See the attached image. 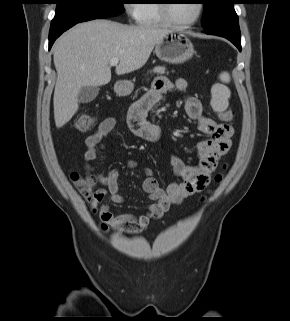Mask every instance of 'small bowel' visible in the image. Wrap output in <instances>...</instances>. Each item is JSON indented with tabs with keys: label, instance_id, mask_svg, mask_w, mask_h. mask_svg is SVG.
Instances as JSON below:
<instances>
[{
	"label": "small bowel",
	"instance_id": "small-bowel-1",
	"mask_svg": "<svg viewBox=\"0 0 290 321\" xmlns=\"http://www.w3.org/2000/svg\"><path fill=\"white\" fill-rule=\"evenodd\" d=\"M173 88L185 92L187 81L183 78H177L172 82L165 77H158L154 81L152 89L133 103L126 115V122L136 137L150 142L160 140L161 128L156 122L149 119L148 113ZM184 110L190 119L197 122L199 131L211 137L199 142L196 146L199 157L198 164L189 166L178 156L172 155L171 165L174 174L180 181L172 182L166 188L160 187L151 172L146 170L143 190L149 194L153 204L143 215H114L108 205L102 202L103 197L93 200L90 203V208L93 213L99 215L102 231L125 229L131 232H139L145 229L151 221L159 219L172 205L179 204L184 199L203 191L209 184L211 174L219 158L226 154L230 148L233 128L228 123H218L203 115L202 104L195 97L186 99ZM116 123L117 120L114 117L105 118L97 129L86 138L87 150L84 154V162L85 168L93 173L96 182L105 187V190L109 193L110 201L114 204H122L124 197L120 193L118 185V169H112L106 174H101L95 173L91 165L97 158L98 149L104 145L105 138L115 128ZM128 165L133 168L136 163L130 161Z\"/></svg>",
	"mask_w": 290,
	"mask_h": 321
}]
</instances>
